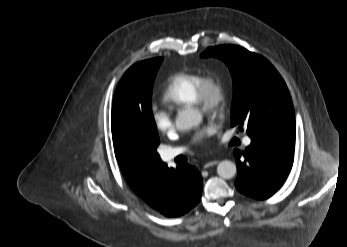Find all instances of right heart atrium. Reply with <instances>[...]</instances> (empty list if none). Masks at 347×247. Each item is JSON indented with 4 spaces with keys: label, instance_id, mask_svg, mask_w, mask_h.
<instances>
[{
    "label": "right heart atrium",
    "instance_id": "obj_1",
    "mask_svg": "<svg viewBox=\"0 0 347 247\" xmlns=\"http://www.w3.org/2000/svg\"><path fill=\"white\" fill-rule=\"evenodd\" d=\"M151 117L155 128L159 132L168 134L174 130L173 119L166 111L156 109L152 112Z\"/></svg>",
    "mask_w": 347,
    "mask_h": 247
}]
</instances>
